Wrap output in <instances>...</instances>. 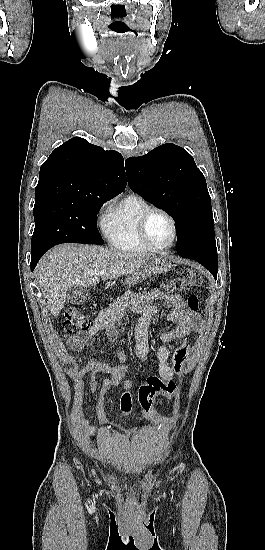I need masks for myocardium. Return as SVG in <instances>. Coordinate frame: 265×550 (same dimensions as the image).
Here are the masks:
<instances>
[{
	"label": "myocardium",
	"instance_id": "f54148a6",
	"mask_svg": "<svg viewBox=\"0 0 265 550\" xmlns=\"http://www.w3.org/2000/svg\"><path fill=\"white\" fill-rule=\"evenodd\" d=\"M154 213L163 214L165 217H167V219L171 223L172 238H171L170 242L165 244V245L160 246V245L154 244L151 241V239L148 235V231H147L148 220L151 217V215L154 214ZM138 233H139V236H140V239L142 240V242L149 249L156 250V251L166 250V249H169L170 247H172L174 245V243L176 242V240H177V236H178L177 223H176L175 218L168 211H166L165 209L160 208V207H150L142 213V215L139 219Z\"/></svg>",
	"mask_w": 265,
	"mask_h": 550
}]
</instances>
